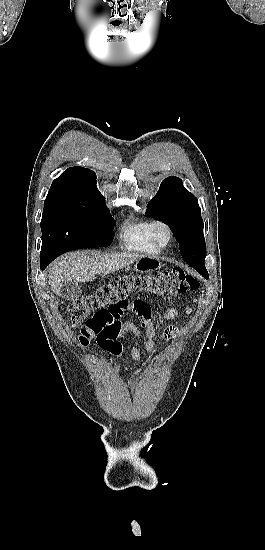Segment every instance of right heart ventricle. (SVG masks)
Here are the masks:
<instances>
[{"label": "right heart ventricle", "mask_w": 265, "mask_h": 550, "mask_svg": "<svg viewBox=\"0 0 265 550\" xmlns=\"http://www.w3.org/2000/svg\"><path fill=\"white\" fill-rule=\"evenodd\" d=\"M152 223L150 220H138L127 223L120 233L124 247L133 251L157 253L159 248L155 245L151 236Z\"/></svg>", "instance_id": "obj_1"}]
</instances>
